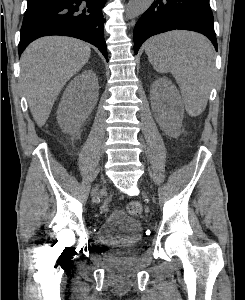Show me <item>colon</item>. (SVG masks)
Listing matches in <instances>:
<instances>
[{"mask_svg":"<svg viewBox=\"0 0 245 300\" xmlns=\"http://www.w3.org/2000/svg\"><path fill=\"white\" fill-rule=\"evenodd\" d=\"M127 212L131 216H138L142 213V205L139 201L133 200L127 204Z\"/></svg>","mask_w":245,"mask_h":300,"instance_id":"1","label":"colon"}]
</instances>
